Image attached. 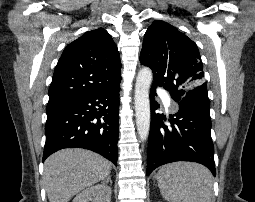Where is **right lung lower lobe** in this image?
<instances>
[{
  "instance_id": "98d812e1",
  "label": "right lung lower lobe",
  "mask_w": 255,
  "mask_h": 202,
  "mask_svg": "<svg viewBox=\"0 0 255 202\" xmlns=\"http://www.w3.org/2000/svg\"><path fill=\"white\" fill-rule=\"evenodd\" d=\"M119 84L49 102L43 160L60 149L81 147L117 165Z\"/></svg>"
}]
</instances>
